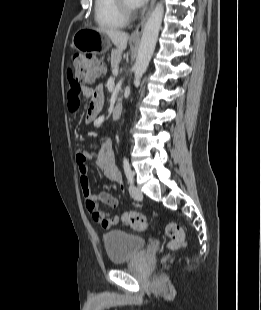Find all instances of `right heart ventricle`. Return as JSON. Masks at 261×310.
Wrapping results in <instances>:
<instances>
[{"mask_svg": "<svg viewBox=\"0 0 261 310\" xmlns=\"http://www.w3.org/2000/svg\"><path fill=\"white\" fill-rule=\"evenodd\" d=\"M94 19L103 29H118L126 24V20L116 7L115 0H95Z\"/></svg>", "mask_w": 261, "mask_h": 310, "instance_id": "e07e8e85", "label": "right heart ventricle"}]
</instances>
